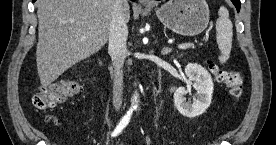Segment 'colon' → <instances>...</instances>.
I'll return each instance as SVG.
<instances>
[{
    "label": "colon",
    "instance_id": "5ec220e1",
    "mask_svg": "<svg viewBox=\"0 0 276 145\" xmlns=\"http://www.w3.org/2000/svg\"><path fill=\"white\" fill-rule=\"evenodd\" d=\"M208 69L216 80L227 86L233 98H239L243 93V78L238 71L220 68L214 61L207 63ZM80 91L78 82L70 79L42 87L34 95L33 104L38 110H47L65 104Z\"/></svg>",
    "mask_w": 276,
    "mask_h": 145
}]
</instances>
